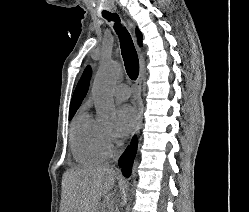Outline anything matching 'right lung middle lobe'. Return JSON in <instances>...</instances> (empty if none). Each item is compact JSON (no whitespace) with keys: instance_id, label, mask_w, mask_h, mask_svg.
<instances>
[{"instance_id":"obj_1","label":"right lung middle lobe","mask_w":249,"mask_h":212,"mask_svg":"<svg viewBox=\"0 0 249 212\" xmlns=\"http://www.w3.org/2000/svg\"><path fill=\"white\" fill-rule=\"evenodd\" d=\"M75 113H76V111H69V120H71L73 118Z\"/></svg>"}]
</instances>
